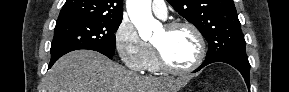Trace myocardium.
Returning a JSON list of instances; mask_svg holds the SVG:
<instances>
[{
    "mask_svg": "<svg viewBox=\"0 0 289 92\" xmlns=\"http://www.w3.org/2000/svg\"><path fill=\"white\" fill-rule=\"evenodd\" d=\"M164 27L168 30H174L177 28L190 29L197 39L199 49H198V56L191 65L187 67H175L168 63V61L165 59L160 49L153 44L159 67L166 72L174 74L189 73L200 67L206 57V40L200 29L195 24L189 21H173L167 23Z\"/></svg>",
    "mask_w": 289,
    "mask_h": 92,
    "instance_id": "myocardium-1",
    "label": "myocardium"
}]
</instances>
